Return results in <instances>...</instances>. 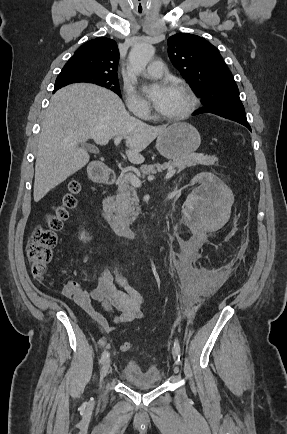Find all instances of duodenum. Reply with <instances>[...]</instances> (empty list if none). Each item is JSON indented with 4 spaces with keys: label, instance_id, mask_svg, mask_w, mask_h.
I'll return each mask as SVG.
<instances>
[{
    "label": "duodenum",
    "instance_id": "410a0bca",
    "mask_svg": "<svg viewBox=\"0 0 287 434\" xmlns=\"http://www.w3.org/2000/svg\"><path fill=\"white\" fill-rule=\"evenodd\" d=\"M90 176L97 182L113 185L116 180L115 172L107 166L95 165L90 168ZM101 212L104 220L109 224L114 233L120 237L136 240L142 235L130 228L128 222L115 214L113 198L106 197L103 200Z\"/></svg>",
    "mask_w": 287,
    "mask_h": 434
}]
</instances>
